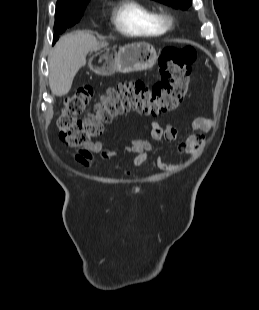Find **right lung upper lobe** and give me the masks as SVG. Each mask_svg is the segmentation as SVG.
I'll use <instances>...</instances> for the list:
<instances>
[{"mask_svg": "<svg viewBox=\"0 0 259 310\" xmlns=\"http://www.w3.org/2000/svg\"><path fill=\"white\" fill-rule=\"evenodd\" d=\"M86 0H57L56 8L73 7Z\"/></svg>", "mask_w": 259, "mask_h": 310, "instance_id": "1", "label": "right lung upper lobe"}]
</instances>
